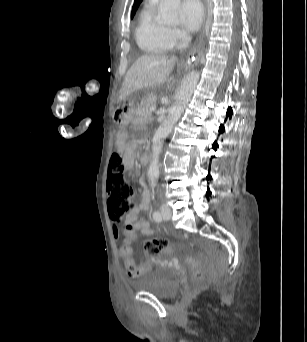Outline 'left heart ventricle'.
<instances>
[{
	"label": "left heart ventricle",
	"instance_id": "left-heart-ventricle-1",
	"mask_svg": "<svg viewBox=\"0 0 307 342\" xmlns=\"http://www.w3.org/2000/svg\"><path fill=\"white\" fill-rule=\"evenodd\" d=\"M166 31H171V29H168V30H166Z\"/></svg>",
	"mask_w": 307,
	"mask_h": 342
}]
</instances>
